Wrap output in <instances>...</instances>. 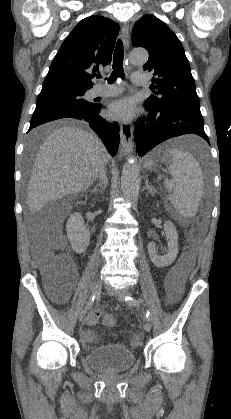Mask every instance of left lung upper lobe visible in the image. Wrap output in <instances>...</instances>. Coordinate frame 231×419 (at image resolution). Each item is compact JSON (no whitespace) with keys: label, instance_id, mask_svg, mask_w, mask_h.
Listing matches in <instances>:
<instances>
[{"label":"left lung upper lobe","instance_id":"obj_1","mask_svg":"<svg viewBox=\"0 0 231 419\" xmlns=\"http://www.w3.org/2000/svg\"><path fill=\"white\" fill-rule=\"evenodd\" d=\"M135 47L149 53L144 70L153 72L154 92L145 103L159 108L173 104H200L190 65L183 46L175 33L154 15H144L132 33Z\"/></svg>","mask_w":231,"mask_h":419}]
</instances>
